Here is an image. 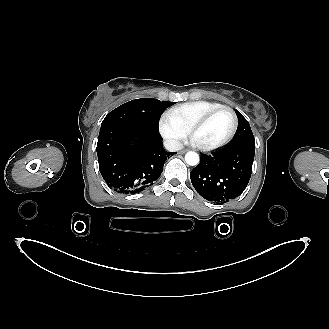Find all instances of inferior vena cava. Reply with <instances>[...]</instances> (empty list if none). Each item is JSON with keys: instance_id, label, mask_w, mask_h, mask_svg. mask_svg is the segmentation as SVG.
Returning <instances> with one entry per match:
<instances>
[{"instance_id": "1", "label": "inferior vena cava", "mask_w": 329, "mask_h": 329, "mask_svg": "<svg viewBox=\"0 0 329 329\" xmlns=\"http://www.w3.org/2000/svg\"><path fill=\"white\" fill-rule=\"evenodd\" d=\"M163 145L170 152L178 151L183 148V144L181 142L173 139L165 140Z\"/></svg>"}]
</instances>
